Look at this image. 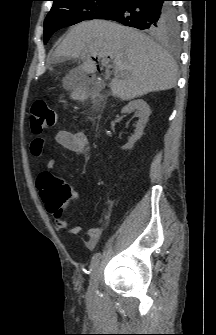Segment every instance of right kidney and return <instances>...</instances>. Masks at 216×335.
<instances>
[{"instance_id":"ca27d5eb","label":"right kidney","mask_w":216,"mask_h":335,"mask_svg":"<svg viewBox=\"0 0 216 335\" xmlns=\"http://www.w3.org/2000/svg\"><path fill=\"white\" fill-rule=\"evenodd\" d=\"M133 110H136V115L139 117V120L136 123L134 134L130 137L128 143L122 147V149L125 150L132 149L135 142L141 137L143 129L151 113L149 105L143 99H137L129 102L125 107H123L121 113L125 114Z\"/></svg>"}]
</instances>
